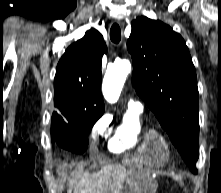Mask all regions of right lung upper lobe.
<instances>
[{
	"instance_id": "right-lung-upper-lobe-1",
	"label": "right lung upper lobe",
	"mask_w": 221,
	"mask_h": 193,
	"mask_svg": "<svg viewBox=\"0 0 221 193\" xmlns=\"http://www.w3.org/2000/svg\"><path fill=\"white\" fill-rule=\"evenodd\" d=\"M107 47L95 29L73 43L61 57L54 79V101L58 112L53 118H77L102 115L101 60Z\"/></svg>"
}]
</instances>
